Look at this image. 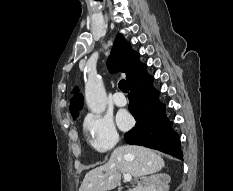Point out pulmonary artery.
<instances>
[{
    "instance_id": "1",
    "label": "pulmonary artery",
    "mask_w": 233,
    "mask_h": 191,
    "mask_svg": "<svg viewBox=\"0 0 233 191\" xmlns=\"http://www.w3.org/2000/svg\"><path fill=\"white\" fill-rule=\"evenodd\" d=\"M113 101L117 106H125L127 104L126 97L121 92H115L113 95Z\"/></svg>"
}]
</instances>
